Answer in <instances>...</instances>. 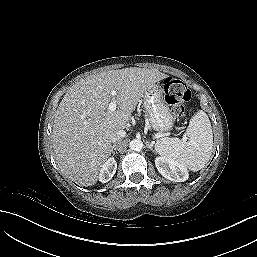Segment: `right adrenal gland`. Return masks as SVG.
Returning <instances> with one entry per match:
<instances>
[{
    "label": "right adrenal gland",
    "mask_w": 257,
    "mask_h": 257,
    "mask_svg": "<svg viewBox=\"0 0 257 257\" xmlns=\"http://www.w3.org/2000/svg\"><path fill=\"white\" fill-rule=\"evenodd\" d=\"M112 153H113V155H115V153H117L116 152V144H114L113 147H112Z\"/></svg>",
    "instance_id": "1"
}]
</instances>
